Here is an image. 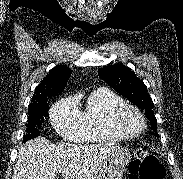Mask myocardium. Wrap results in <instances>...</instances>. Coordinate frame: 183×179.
Returning a JSON list of instances; mask_svg holds the SVG:
<instances>
[{
    "mask_svg": "<svg viewBox=\"0 0 183 179\" xmlns=\"http://www.w3.org/2000/svg\"><path fill=\"white\" fill-rule=\"evenodd\" d=\"M130 112L135 113L141 121V128L136 132H130L126 130V128L123 125V120L125 116ZM111 122L114 130L126 138L137 137L140 134H142L146 128V119L143 113L137 107L129 104H125L117 108L112 115Z\"/></svg>",
    "mask_w": 183,
    "mask_h": 179,
    "instance_id": "1",
    "label": "myocardium"
}]
</instances>
